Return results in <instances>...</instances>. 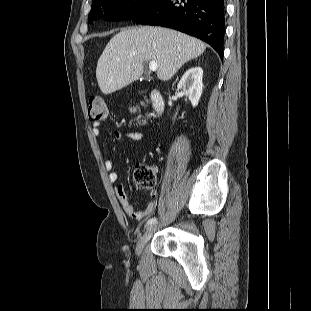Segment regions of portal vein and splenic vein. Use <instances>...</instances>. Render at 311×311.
Segmentation results:
<instances>
[{
  "mask_svg": "<svg viewBox=\"0 0 311 311\" xmlns=\"http://www.w3.org/2000/svg\"><path fill=\"white\" fill-rule=\"evenodd\" d=\"M157 68H158V65H157L156 62L151 61V62L149 63V69H150V71H156Z\"/></svg>",
  "mask_w": 311,
  "mask_h": 311,
  "instance_id": "obj_1",
  "label": "portal vein and splenic vein"
}]
</instances>
